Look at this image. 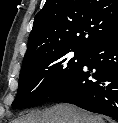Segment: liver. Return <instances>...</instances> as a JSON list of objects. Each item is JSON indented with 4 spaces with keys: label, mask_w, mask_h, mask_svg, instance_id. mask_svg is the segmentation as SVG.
I'll use <instances>...</instances> for the list:
<instances>
[{
    "label": "liver",
    "mask_w": 118,
    "mask_h": 123,
    "mask_svg": "<svg viewBox=\"0 0 118 123\" xmlns=\"http://www.w3.org/2000/svg\"><path fill=\"white\" fill-rule=\"evenodd\" d=\"M11 123H105L104 120L72 104H56L44 111H32Z\"/></svg>",
    "instance_id": "liver-1"
}]
</instances>
